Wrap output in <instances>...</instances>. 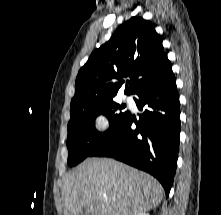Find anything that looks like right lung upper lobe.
Returning a JSON list of instances; mask_svg holds the SVG:
<instances>
[{"instance_id": "right-lung-upper-lobe-1", "label": "right lung upper lobe", "mask_w": 221, "mask_h": 215, "mask_svg": "<svg viewBox=\"0 0 221 215\" xmlns=\"http://www.w3.org/2000/svg\"><path fill=\"white\" fill-rule=\"evenodd\" d=\"M170 72L172 66L155 27L135 16L92 52L78 72L71 105L114 99L126 77L130 80L124 93L136 94Z\"/></svg>"}]
</instances>
